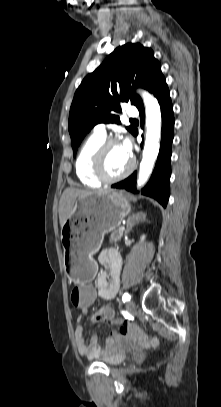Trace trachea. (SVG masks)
Instances as JSON below:
<instances>
[{
    "label": "trachea",
    "instance_id": "1",
    "mask_svg": "<svg viewBox=\"0 0 221 407\" xmlns=\"http://www.w3.org/2000/svg\"><path fill=\"white\" fill-rule=\"evenodd\" d=\"M131 121H136V119H130Z\"/></svg>",
    "mask_w": 221,
    "mask_h": 407
}]
</instances>
